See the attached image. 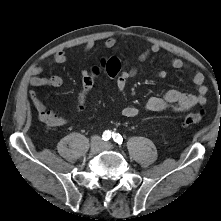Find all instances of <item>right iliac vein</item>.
I'll return each mask as SVG.
<instances>
[{
	"label": "right iliac vein",
	"instance_id": "obj_1",
	"mask_svg": "<svg viewBox=\"0 0 221 221\" xmlns=\"http://www.w3.org/2000/svg\"><path fill=\"white\" fill-rule=\"evenodd\" d=\"M100 151V146L97 141H93L90 146V152L96 154Z\"/></svg>",
	"mask_w": 221,
	"mask_h": 221
}]
</instances>
